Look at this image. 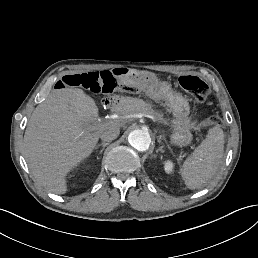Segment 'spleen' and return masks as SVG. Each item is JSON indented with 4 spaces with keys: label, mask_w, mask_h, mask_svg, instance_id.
<instances>
[{
    "label": "spleen",
    "mask_w": 258,
    "mask_h": 258,
    "mask_svg": "<svg viewBox=\"0 0 258 258\" xmlns=\"http://www.w3.org/2000/svg\"><path fill=\"white\" fill-rule=\"evenodd\" d=\"M224 153V132L215 125L207 132L205 139L184 161L181 174L190 189L205 185L216 174Z\"/></svg>",
    "instance_id": "spleen-1"
}]
</instances>
